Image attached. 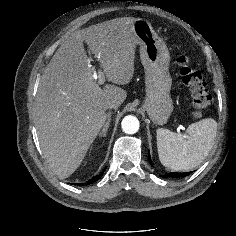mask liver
I'll use <instances>...</instances> for the list:
<instances>
[{"label":"liver","mask_w":236,"mask_h":236,"mask_svg":"<svg viewBox=\"0 0 236 236\" xmlns=\"http://www.w3.org/2000/svg\"><path fill=\"white\" fill-rule=\"evenodd\" d=\"M135 20L116 18L74 32L45 68L35 108L36 129L43 156L61 179L81 165L108 118L107 104L120 106L127 97L115 85L99 86L83 41L109 82L128 84L134 75L138 45Z\"/></svg>","instance_id":"1"}]
</instances>
